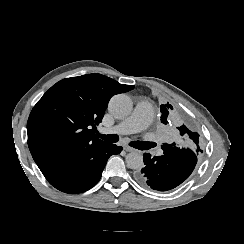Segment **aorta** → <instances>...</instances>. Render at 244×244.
<instances>
[{"instance_id": "obj_1", "label": "aorta", "mask_w": 244, "mask_h": 244, "mask_svg": "<svg viewBox=\"0 0 244 244\" xmlns=\"http://www.w3.org/2000/svg\"><path fill=\"white\" fill-rule=\"evenodd\" d=\"M108 109L114 117L122 119L132 112L133 103L129 96L118 94L110 99ZM125 161L127 167L130 169H141L144 166L143 156L136 151L128 153Z\"/></svg>"}]
</instances>
